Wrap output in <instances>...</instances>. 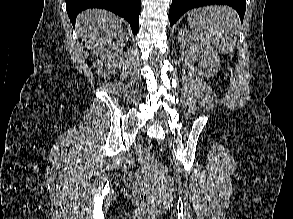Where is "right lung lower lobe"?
<instances>
[{"label": "right lung lower lobe", "mask_w": 293, "mask_h": 219, "mask_svg": "<svg viewBox=\"0 0 293 219\" xmlns=\"http://www.w3.org/2000/svg\"><path fill=\"white\" fill-rule=\"evenodd\" d=\"M68 16L75 26L76 16L87 8H102L125 18L133 34L138 32L141 0H65Z\"/></svg>", "instance_id": "obj_1"}]
</instances>
